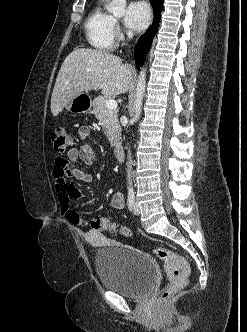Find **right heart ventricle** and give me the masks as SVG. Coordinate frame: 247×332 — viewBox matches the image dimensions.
Returning a JSON list of instances; mask_svg holds the SVG:
<instances>
[{"label":"right heart ventricle","instance_id":"right-heart-ventricle-1","mask_svg":"<svg viewBox=\"0 0 247 332\" xmlns=\"http://www.w3.org/2000/svg\"><path fill=\"white\" fill-rule=\"evenodd\" d=\"M85 33L88 43L100 51H110L114 47L115 19L107 13L102 4H97L87 17Z\"/></svg>","mask_w":247,"mask_h":332}]
</instances>
